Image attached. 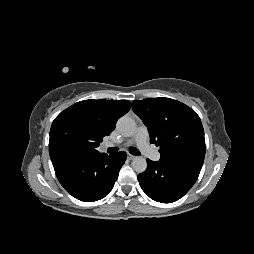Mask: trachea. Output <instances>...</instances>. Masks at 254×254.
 <instances>
[{"instance_id":"trachea-1","label":"trachea","mask_w":254,"mask_h":254,"mask_svg":"<svg viewBox=\"0 0 254 254\" xmlns=\"http://www.w3.org/2000/svg\"><path fill=\"white\" fill-rule=\"evenodd\" d=\"M117 151H118V148H117V147H110V148L107 149V152H108V153H116ZM129 152H130L132 155H140L139 150L134 149V148L130 149Z\"/></svg>"}]
</instances>
